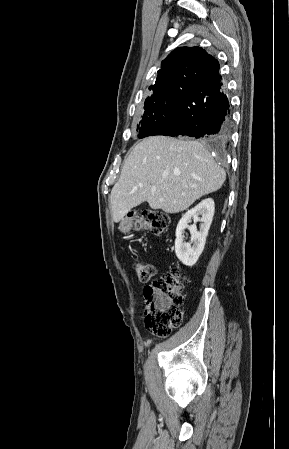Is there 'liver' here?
<instances>
[{
	"instance_id": "6515ba94",
	"label": "liver",
	"mask_w": 289,
	"mask_h": 449,
	"mask_svg": "<svg viewBox=\"0 0 289 449\" xmlns=\"http://www.w3.org/2000/svg\"><path fill=\"white\" fill-rule=\"evenodd\" d=\"M226 179L204 145L198 141L153 136L139 142L127 156L111 191L113 221L148 202L166 213L186 210L203 195L219 190ZM156 191L152 192L151 187Z\"/></svg>"
}]
</instances>
